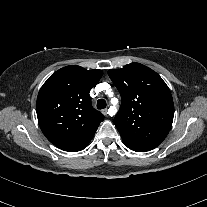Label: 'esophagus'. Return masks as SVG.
<instances>
[{"label":"esophagus","mask_w":207,"mask_h":207,"mask_svg":"<svg viewBox=\"0 0 207 207\" xmlns=\"http://www.w3.org/2000/svg\"><path fill=\"white\" fill-rule=\"evenodd\" d=\"M102 112H103V114H104L105 116L108 115V109H107V108L103 109Z\"/></svg>","instance_id":"obj_1"}]
</instances>
